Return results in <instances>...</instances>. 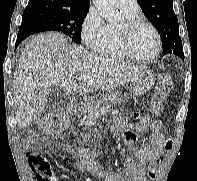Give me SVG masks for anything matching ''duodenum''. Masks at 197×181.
<instances>
[{
  "label": "duodenum",
  "mask_w": 197,
  "mask_h": 181,
  "mask_svg": "<svg viewBox=\"0 0 197 181\" xmlns=\"http://www.w3.org/2000/svg\"><path fill=\"white\" fill-rule=\"evenodd\" d=\"M70 107L74 113H78L82 110L83 104L80 100L75 99L71 102Z\"/></svg>",
  "instance_id": "410a0bca"
}]
</instances>
